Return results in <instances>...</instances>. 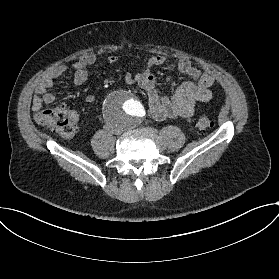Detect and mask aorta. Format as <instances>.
Segmentation results:
<instances>
[{
  "label": "aorta",
  "mask_w": 279,
  "mask_h": 279,
  "mask_svg": "<svg viewBox=\"0 0 279 279\" xmlns=\"http://www.w3.org/2000/svg\"><path fill=\"white\" fill-rule=\"evenodd\" d=\"M104 114L110 125L119 130L138 124L145 111L142 103L128 91L111 94L104 105Z\"/></svg>",
  "instance_id": "1"
}]
</instances>
